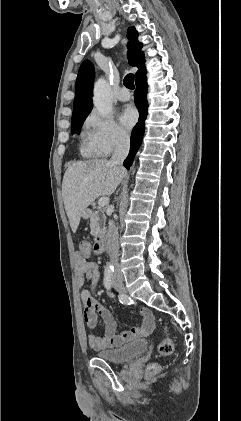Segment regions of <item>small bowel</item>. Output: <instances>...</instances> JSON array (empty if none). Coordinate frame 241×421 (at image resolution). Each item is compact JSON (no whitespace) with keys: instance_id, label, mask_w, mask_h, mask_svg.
<instances>
[{"instance_id":"obj_1","label":"small bowel","mask_w":241,"mask_h":421,"mask_svg":"<svg viewBox=\"0 0 241 421\" xmlns=\"http://www.w3.org/2000/svg\"><path fill=\"white\" fill-rule=\"evenodd\" d=\"M76 265L78 271V285L84 287L86 283L90 284L88 289H82L80 293L85 324L88 329H95L97 325V314H99L105 326L103 336H97L95 334L88 335V344L90 348L96 351L114 348L136 338L147 336L153 332L155 329V318L149 309L141 308V325L129 331L117 333L114 315L96 299V286L99 281L97 263L88 261L85 256L78 254ZM110 296H112L111 293Z\"/></svg>"}]
</instances>
